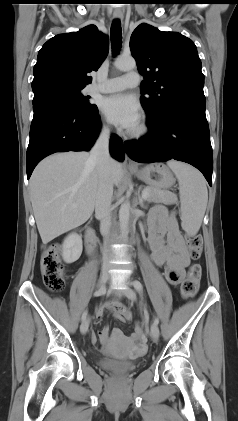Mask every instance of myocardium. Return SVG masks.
Segmentation results:
<instances>
[{
    "mask_svg": "<svg viewBox=\"0 0 238 421\" xmlns=\"http://www.w3.org/2000/svg\"><path fill=\"white\" fill-rule=\"evenodd\" d=\"M148 132V127L145 123H141L140 125H138V127L134 130H132L129 133L130 138L132 139H140L142 137H144Z\"/></svg>",
    "mask_w": 238,
    "mask_h": 421,
    "instance_id": "myocardium-1",
    "label": "myocardium"
}]
</instances>
